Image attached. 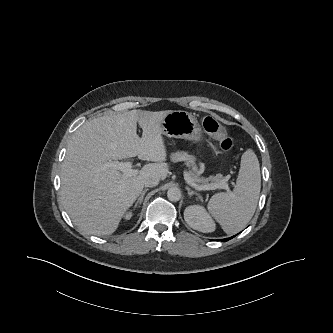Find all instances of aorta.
Here are the masks:
<instances>
[{
  "mask_svg": "<svg viewBox=\"0 0 333 333\" xmlns=\"http://www.w3.org/2000/svg\"><path fill=\"white\" fill-rule=\"evenodd\" d=\"M167 197L170 201L176 202L181 198V191L177 187H171L167 191Z\"/></svg>",
  "mask_w": 333,
  "mask_h": 333,
  "instance_id": "762f6f07",
  "label": "aorta"
}]
</instances>
